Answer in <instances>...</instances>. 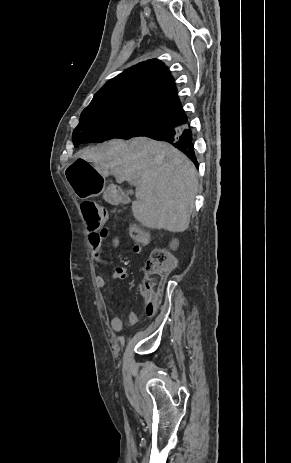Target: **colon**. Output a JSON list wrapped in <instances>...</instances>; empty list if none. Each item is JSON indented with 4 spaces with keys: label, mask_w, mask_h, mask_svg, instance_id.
I'll list each match as a JSON object with an SVG mask.
<instances>
[{
    "label": "colon",
    "mask_w": 291,
    "mask_h": 463,
    "mask_svg": "<svg viewBox=\"0 0 291 463\" xmlns=\"http://www.w3.org/2000/svg\"><path fill=\"white\" fill-rule=\"evenodd\" d=\"M81 210L92 232L103 229L108 214L106 209L98 203L87 200L82 203ZM130 235L139 242L148 240L147 234L140 228L131 227ZM175 266L174 256L164 249H154L145 265V276L142 283V294L145 297V311L153 316L156 312L159 296L167 275Z\"/></svg>",
    "instance_id": "5ec220e1"
}]
</instances>
